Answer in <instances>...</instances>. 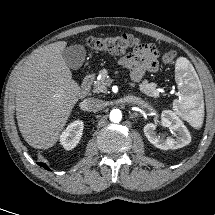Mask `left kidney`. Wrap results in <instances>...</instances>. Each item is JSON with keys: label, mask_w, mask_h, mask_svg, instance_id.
<instances>
[{"label": "left kidney", "mask_w": 215, "mask_h": 215, "mask_svg": "<svg viewBox=\"0 0 215 215\" xmlns=\"http://www.w3.org/2000/svg\"><path fill=\"white\" fill-rule=\"evenodd\" d=\"M161 124L169 128L174 138L170 137L165 139L164 137L158 136L155 131L157 123H148L144 127V134L155 147L162 150L178 149L191 142V135L188 129L174 112L170 110L163 111Z\"/></svg>", "instance_id": "1"}]
</instances>
